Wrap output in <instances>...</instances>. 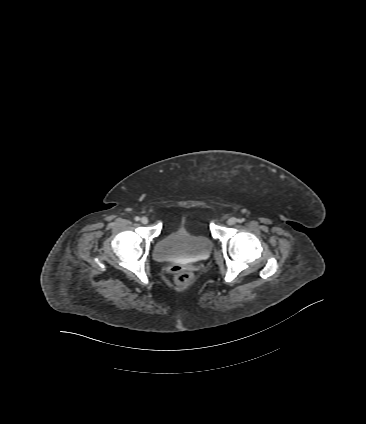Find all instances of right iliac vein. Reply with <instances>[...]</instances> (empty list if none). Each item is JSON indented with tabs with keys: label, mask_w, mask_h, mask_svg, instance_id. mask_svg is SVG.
Here are the masks:
<instances>
[{
	"label": "right iliac vein",
	"mask_w": 366,
	"mask_h": 424,
	"mask_svg": "<svg viewBox=\"0 0 366 424\" xmlns=\"http://www.w3.org/2000/svg\"><path fill=\"white\" fill-rule=\"evenodd\" d=\"M149 222V220H148V218L147 217H142L141 218V223L142 224H147Z\"/></svg>",
	"instance_id": "1"
}]
</instances>
